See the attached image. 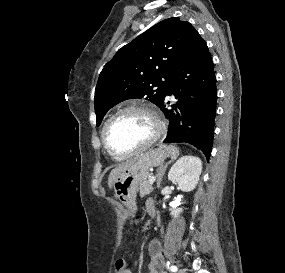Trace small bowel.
Instances as JSON below:
<instances>
[{
  "label": "small bowel",
  "instance_id": "obj_1",
  "mask_svg": "<svg viewBox=\"0 0 285 273\" xmlns=\"http://www.w3.org/2000/svg\"><path fill=\"white\" fill-rule=\"evenodd\" d=\"M145 206L149 214L156 211L155 204L152 200H147ZM148 252L150 256L148 273H164V260L162 256L161 243L156 240L151 241L148 246ZM128 273H131V271L129 270Z\"/></svg>",
  "mask_w": 285,
  "mask_h": 273
}]
</instances>
